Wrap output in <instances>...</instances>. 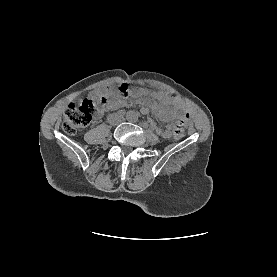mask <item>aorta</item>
I'll list each match as a JSON object with an SVG mask.
<instances>
[{
	"label": "aorta",
	"instance_id": "obj_1",
	"mask_svg": "<svg viewBox=\"0 0 277 277\" xmlns=\"http://www.w3.org/2000/svg\"><path fill=\"white\" fill-rule=\"evenodd\" d=\"M126 119L129 121V122H136L137 119H138V114L133 111V110H130L127 112L126 114Z\"/></svg>",
	"mask_w": 277,
	"mask_h": 277
}]
</instances>
